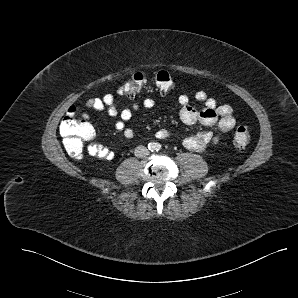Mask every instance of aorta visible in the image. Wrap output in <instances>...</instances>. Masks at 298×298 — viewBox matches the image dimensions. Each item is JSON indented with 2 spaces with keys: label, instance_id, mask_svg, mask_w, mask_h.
I'll use <instances>...</instances> for the list:
<instances>
[{
  "label": "aorta",
  "instance_id": "obj_1",
  "mask_svg": "<svg viewBox=\"0 0 298 298\" xmlns=\"http://www.w3.org/2000/svg\"><path fill=\"white\" fill-rule=\"evenodd\" d=\"M157 148H160V145L157 142H150L149 149L155 151Z\"/></svg>",
  "mask_w": 298,
  "mask_h": 298
}]
</instances>
